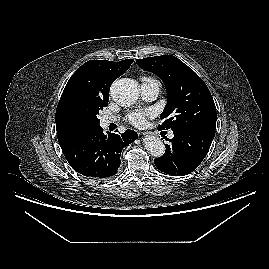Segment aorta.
I'll return each mask as SVG.
<instances>
[{"label": "aorta", "mask_w": 269, "mask_h": 269, "mask_svg": "<svg viewBox=\"0 0 269 269\" xmlns=\"http://www.w3.org/2000/svg\"><path fill=\"white\" fill-rule=\"evenodd\" d=\"M110 93L113 100L119 105L130 106L136 102L139 96V87L136 81L122 78L112 84ZM144 146L147 152L156 158L163 156L165 153V145L159 137H145Z\"/></svg>", "instance_id": "762f6f07"}]
</instances>
